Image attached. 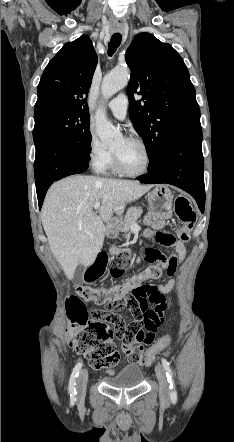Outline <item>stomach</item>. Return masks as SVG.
Returning a JSON list of instances; mask_svg holds the SVG:
<instances>
[{"mask_svg": "<svg viewBox=\"0 0 234 442\" xmlns=\"http://www.w3.org/2000/svg\"><path fill=\"white\" fill-rule=\"evenodd\" d=\"M173 194L165 185L156 186L148 194V204L150 210L159 219H170L173 213Z\"/></svg>", "mask_w": 234, "mask_h": 442, "instance_id": "0dacf381", "label": "stomach"}]
</instances>
